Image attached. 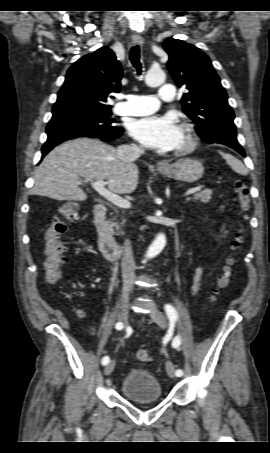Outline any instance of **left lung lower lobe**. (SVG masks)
Returning <instances> with one entry per match:
<instances>
[{
	"label": "left lung lower lobe",
	"instance_id": "obj_1",
	"mask_svg": "<svg viewBox=\"0 0 270 453\" xmlns=\"http://www.w3.org/2000/svg\"><path fill=\"white\" fill-rule=\"evenodd\" d=\"M229 147H231L232 149L236 150L238 153H240L242 156L245 157V152L243 150V148L240 146V144H230V145H227Z\"/></svg>",
	"mask_w": 270,
	"mask_h": 453
}]
</instances>
